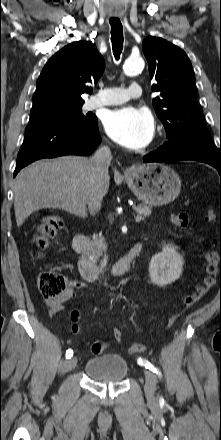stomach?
Masks as SVG:
<instances>
[{
	"label": "stomach",
	"mask_w": 221,
	"mask_h": 440,
	"mask_svg": "<svg viewBox=\"0 0 221 440\" xmlns=\"http://www.w3.org/2000/svg\"><path fill=\"white\" fill-rule=\"evenodd\" d=\"M125 180L138 199L146 204L160 206L174 201L181 189L178 174L162 163H147L131 167Z\"/></svg>",
	"instance_id": "0dacf381"
}]
</instances>
